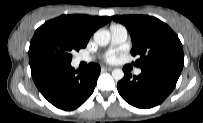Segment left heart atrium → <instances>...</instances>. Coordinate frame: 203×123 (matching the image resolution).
<instances>
[{
	"instance_id": "obj_1",
	"label": "left heart atrium",
	"mask_w": 203,
	"mask_h": 123,
	"mask_svg": "<svg viewBox=\"0 0 203 123\" xmlns=\"http://www.w3.org/2000/svg\"><path fill=\"white\" fill-rule=\"evenodd\" d=\"M116 59V55L115 54H110L107 56V61L112 62Z\"/></svg>"
}]
</instances>
